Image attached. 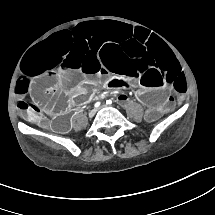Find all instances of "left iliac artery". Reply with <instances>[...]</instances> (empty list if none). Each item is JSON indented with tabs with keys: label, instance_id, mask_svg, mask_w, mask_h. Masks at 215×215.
<instances>
[{
	"label": "left iliac artery",
	"instance_id": "left-iliac-artery-1",
	"mask_svg": "<svg viewBox=\"0 0 215 215\" xmlns=\"http://www.w3.org/2000/svg\"><path fill=\"white\" fill-rule=\"evenodd\" d=\"M106 104H109V105H110V104H112V101H111V100H107V101H106Z\"/></svg>",
	"mask_w": 215,
	"mask_h": 215
}]
</instances>
